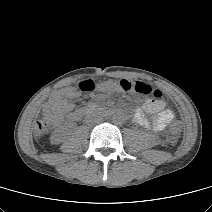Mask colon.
Segmentation results:
<instances>
[{
    "label": "colon",
    "instance_id": "1",
    "mask_svg": "<svg viewBox=\"0 0 212 212\" xmlns=\"http://www.w3.org/2000/svg\"><path fill=\"white\" fill-rule=\"evenodd\" d=\"M78 88L80 91L85 93H90L95 90H103V89H108L111 92L135 91L141 94L152 95L156 99H160L163 95L160 90L153 89L150 85L144 82L137 80H130L128 78L109 80L107 83L95 82L94 80H85L79 83ZM47 127H48L47 122L41 120L35 124L34 131L37 135H42L46 132ZM178 131L179 126L175 124L172 127L169 136L171 141H175Z\"/></svg>",
    "mask_w": 212,
    "mask_h": 212
}]
</instances>
